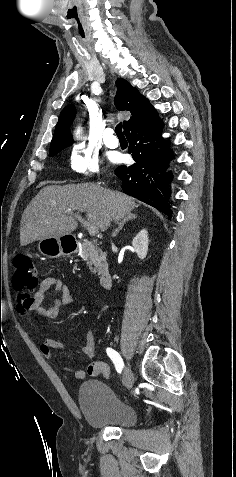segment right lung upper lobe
<instances>
[{
  "label": "right lung upper lobe",
  "instance_id": "obj_1",
  "mask_svg": "<svg viewBox=\"0 0 236 477\" xmlns=\"http://www.w3.org/2000/svg\"><path fill=\"white\" fill-rule=\"evenodd\" d=\"M116 87L115 106L118 110H128L132 113V117L123 123L125 134L136 127L152 124L159 118L157 111L148 99L140 95L138 90L133 88L126 80L118 79ZM74 117L75 107L73 105L70 104L62 110L51 141L50 150L66 148L73 143L70 125Z\"/></svg>",
  "mask_w": 236,
  "mask_h": 477
}]
</instances>
